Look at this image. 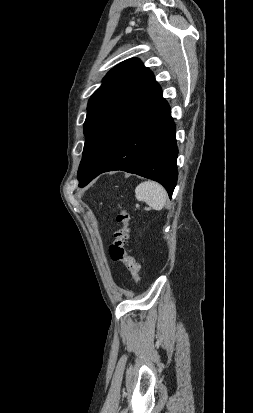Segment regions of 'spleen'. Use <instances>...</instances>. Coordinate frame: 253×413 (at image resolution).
<instances>
[{"instance_id": "1", "label": "spleen", "mask_w": 253, "mask_h": 413, "mask_svg": "<svg viewBox=\"0 0 253 413\" xmlns=\"http://www.w3.org/2000/svg\"><path fill=\"white\" fill-rule=\"evenodd\" d=\"M136 199L145 202L154 210H162L166 205L167 192L157 182L146 181L140 183L135 189Z\"/></svg>"}]
</instances>
